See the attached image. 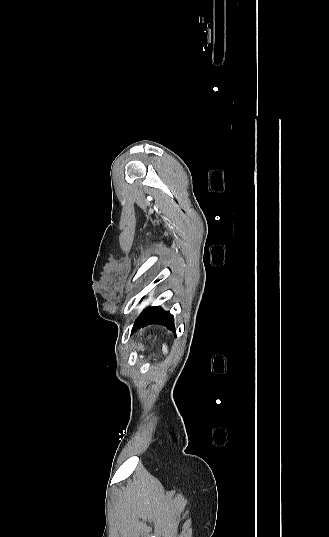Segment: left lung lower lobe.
<instances>
[{"instance_id": "left-lung-lower-lobe-1", "label": "left lung lower lobe", "mask_w": 329, "mask_h": 537, "mask_svg": "<svg viewBox=\"0 0 329 537\" xmlns=\"http://www.w3.org/2000/svg\"><path fill=\"white\" fill-rule=\"evenodd\" d=\"M151 324H161L170 330L175 331L173 316L168 311H164L161 307L154 306L145 308L143 310V312L135 320L132 332L138 328Z\"/></svg>"}]
</instances>
